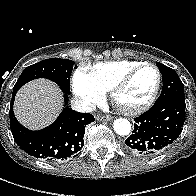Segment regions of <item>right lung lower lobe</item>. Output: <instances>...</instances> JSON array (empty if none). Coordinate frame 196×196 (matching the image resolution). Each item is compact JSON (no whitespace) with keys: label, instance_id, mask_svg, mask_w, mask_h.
Instances as JSON below:
<instances>
[{"label":"right lung lower lobe","instance_id":"right-lung-lower-lobe-1","mask_svg":"<svg viewBox=\"0 0 196 196\" xmlns=\"http://www.w3.org/2000/svg\"><path fill=\"white\" fill-rule=\"evenodd\" d=\"M17 91L12 93L9 111L11 132L17 145L29 155L46 161H60L75 157L84 145L85 127L94 121V116L65 107L49 127L31 131L23 127L13 114ZM68 95L64 93L66 104Z\"/></svg>","mask_w":196,"mask_h":196}]
</instances>
